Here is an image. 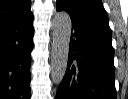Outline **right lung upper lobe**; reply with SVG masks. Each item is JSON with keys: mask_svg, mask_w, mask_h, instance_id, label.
Returning a JSON list of instances; mask_svg holds the SVG:
<instances>
[{"mask_svg": "<svg viewBox=\"0 0 128 99\" xmlns=\"http://www.w3.org/2000/svg\"><path fill=\"white\" fill-rule=\"evenodd\" d=\"M30 0H0V30L31 11Z\"/></svg>", "mask_w": 128, "mask_h": 99, "instance_id": "obj_1", "label": "right lung upper lobe"}]
</instances>
